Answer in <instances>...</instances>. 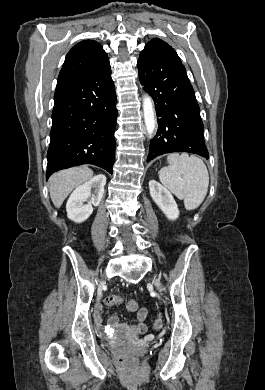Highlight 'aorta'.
Returning <instances> with one entry per match:
<instances>
[{"instance_id": "aorta-1", "label": "aorta", "mask_w": 265, "mask_h": 390, "mask_svg": "<svg viewBox=\"0 0 265 390\" xmlns=\"http://www.w3.org/2000/svg\"><path fill=\"white\" fill-rule=\"evenodd\" d=\"M144 121L148 134L151 136L156 128L155 112L151 98L148 94L143 96Z\"/></svg>"}]
</instances>
